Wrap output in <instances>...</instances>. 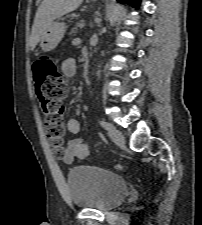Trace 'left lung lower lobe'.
Returning a JSON list of instances; mask_svg holds the SVG:
<instances>
[{
    "label": "left lung lower lobe",
    "mask_w": 202,
    "mask_h": 225,
    "mask_svg": "<svg viewBox=\"0 0 202 225\" xmlns=\"http://www.w3.org/2000/svg\"><path fill=\"white\" fill-rule=\"evenodd\" d=\"M120 2H128L129 4H132L133 6H136L139 4L140 0H119Z\"/></svg>",
    "instance_id": "left-lung-lower-lobe-1"
}]
</instances>
